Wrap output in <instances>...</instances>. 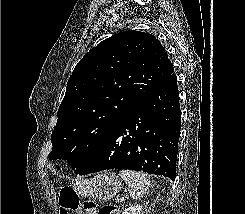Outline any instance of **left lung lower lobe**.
<instances>
[{
    "instance_id": "1",
    "label": "left lung lower lobe",
    "mask_w": 245,
    "mask_h": 214,
    "mask_svg": "<svg viewBox=\"0 0 245 214\" xmlns=\"http://www.w3.org/2000/svg\"><path fill=\"white\" fill-rule=\"evenodd\" d=\"M180 127L177 77L172 73L132 109L74 173L129 169L174 181Z\"/></svg>"
}]
</instances>
